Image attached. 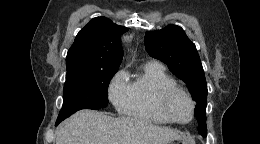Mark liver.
I'll list each match as a JSON object with an SVG mask.
<instances>
[{
  "label": "liver",
  "mask_w": 260,
  "mask_h": 144,
  "mask_svg": "<svg viewBox=\"0 0 260 144\" xmlns=\"http://www.w3.org/2000/svg\"><path fill=\"white\" fill-rule=\"evenodd\" d=\"M180 138L167 127L94 110L77 112L56 131V144H167Z\"/></svg>",
  "instance_id": "obj_1"
}]
</instances>
